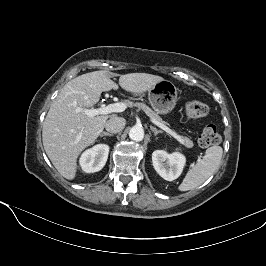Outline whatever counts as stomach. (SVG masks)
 <instances>
[{"mask_svg":"<svg viewBox=\"0 0 266 266\" xmlns=\"http://www.w3.org/2000/svg\"><path fill=\"white\" fill-rule=\"evenodd\" d=\"M148 99L152 108L159 114H167L176 105L177 89L169 80H162L148 90Z\"/></svg>","mask_w":266,"mask_h":266,"instance_id":"0dacf381","label":"stomach"}]
</instances>
